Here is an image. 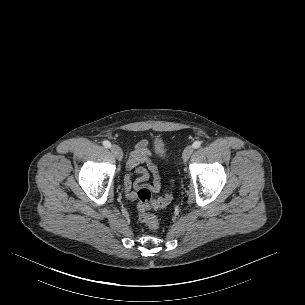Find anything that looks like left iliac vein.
Masks as SVG:
<instances>
[{
    "mask_svg": "<svg viewBox=\"0 0 305 305\" xmlns=\"http://www.w3.org/2000/svg\"><path fill=\"white\" fill-rule=\"evenodd\" d=\"M193 153V146H187L183 151V160L187 161Z\"/></svg>",
    "mask_w": 305,
    "mask_h": 305,
    "instance_id": "1",
    "label": "left iliac vein"
}]
</instances>
